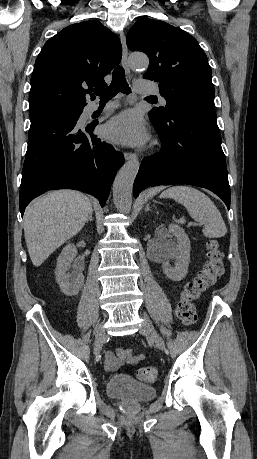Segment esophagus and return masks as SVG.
<instances>
[{
    "label": "esophagus",
    "mask_w": 257,
    "mask_h": 459,
    "mask_svg": "<svg viewBox=\"0 0 257 459\" xmlns=\"http://www.w3.org/2000/svg\"><path fill=\"white\" fill-rule=\"evenodd\" d=\"M120 41L122 45V64L126 70V72L129 74L130 69L128 66V50H127V45H126V38L125 34L123 32H120ZM124 158L125 160H135L137 158V155L132 152H125L124 153Z\"/></svg>",
    "instance_id": "obj_1"
}]
</instances>
